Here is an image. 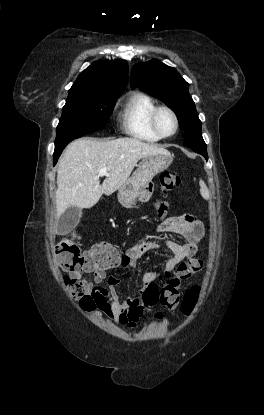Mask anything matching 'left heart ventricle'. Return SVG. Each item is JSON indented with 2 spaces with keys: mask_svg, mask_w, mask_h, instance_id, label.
Segmentation results:
<instances>
[{
  "mask_svg": "<svg viewBox=\"0 0 264 415\" xmlns=\"http://www.w3.org/2000/svg\"><path fill=\"white\" fill-rule=\"evenodd\" d=\"M157 124L160 132L164 135L171 134L174 131L175 123L170 113L161 111L157 117Z\"/></svg>",
  "mask_w": 264,
  "mask_h": 415,
  "instance_id": "left-heart-ventricle-1",
  "label": "left heart ventricle"
}]
</instances>
